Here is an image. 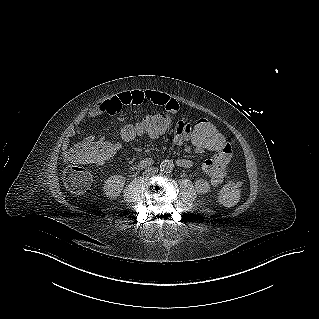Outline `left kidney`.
<instances>
[{
    "label": "left kidney",
    "mask_w": 319,
    "mask_h": 319,
    "mask_svg": "<svg viewBox=\"0 0 319 319\" xmlns=\"http://www.w3.org/2000/svg\"><path fill=\"white\" fill-rule=\"evenodd\" d=\"M195 188L198 193L205 194L210 190V185L206 180L200 179L196 181Z\"/></svg>",
    "instance_id": "1"
}]
</instances>
